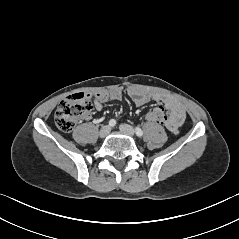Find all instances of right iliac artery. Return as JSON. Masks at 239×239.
Returning a JSON list of instances; mask_svg holds the SVG:
<instances>
[{"instance_id": "obj_1", "label": "right iliac artery", "mask_w": 239, "mask_h": 239, "mask_svg": "<svg viewBox=\"0 0 239 239\" xmlns=\"http://www.w3.org/2000/svg\"><path fill=\"white\" fill-rule=\"evenodd\" d=\"M116 125V121L114 120V119H111L110 121H109V126L110 127H114Z\"/></svg>"}]
</instances>
